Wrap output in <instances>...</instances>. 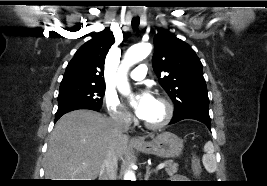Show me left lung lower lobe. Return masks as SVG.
<instances>
[{
	"label": "left lung lower lobe",
	"mask_w": 267,
	"mask_h": 186,
	"mask_svg": "<svg viewBox=\"0 0 267 186\" xmlns=\"http://www.w3.org/2000/svg\"><path fill=\"white\" fill-rule=\"evenodd\" d=\"M184 119H194L204 123L209 129H211V119L209 113L201 111H187L179 114H174L171 124L179 122Z\"/></svg>",
	"instance_id": "1"
}]
</instances>
